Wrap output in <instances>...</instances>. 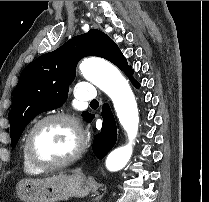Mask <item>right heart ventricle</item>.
Wrapping results in <instances>:
<instances>
[{
	"label": "right heart ventricle",
	"mask_w": 209,
	"mask_h": 202,
	"mask_svg": "<svg viewBox=\"0 0 209 202\" xmlns=\"http://www.w3.org/2000/svg\"><path fill=\"white\" fill-rule=\"evenodd\" d=\"M21 158H22V165L23 169L26 173H32V174H37L40 172V170L36 169L34 166H32L29 161L26 158V155L24 153V149L22 148L21 151Z\"/></svg>",
	"instance_id": "1"
}]
</instances>
